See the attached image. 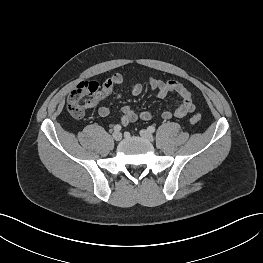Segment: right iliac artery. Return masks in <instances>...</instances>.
<instances>
[{
    "label": "right iliac artery",
    "instance_id": "82829eb1",
    "mask_svg": "<svg viewBox=\"0 0 263 263\" xmlns=\"http://www.w3.org/2000/svg\"><path fill=\"white\" fill-rule=\"evenodd\" d=\"M122 129L121 125L117 124L114 126V131L119 132Z\"/></svg>",
    "mask_w": 263,
    "mask_h": 263
}]
</instances>
